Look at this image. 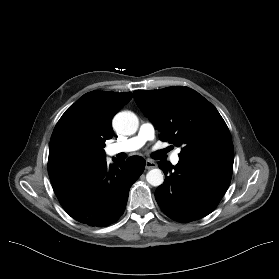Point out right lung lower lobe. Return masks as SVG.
<instances>
[{
	"label": "right lung lower lobe",
	"mask_w": 279,
	"mask_h": 279,
	"mask_svg": "<svg viewBox=\"0 0 279 279\" xmlns=\"http://www.w3.org/2000/svg\"><path fill=\"white\" fill-rule=\"evenodd\" d=\"M106 159L80 168L50 175L53 190L64 210L90 226H108L124 213L129 189L144 171L145 160Z\"/></svg>",
	"instance_id": "right-lung-lower-lobe-1"
}]
</instances>
